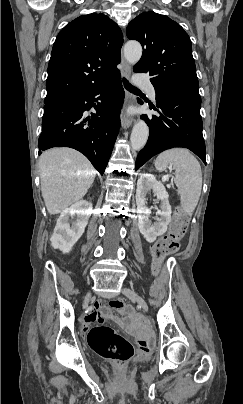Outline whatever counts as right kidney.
Returning a JSON list of instances; mask_svg holds the SVG:
<instances>
[{
	"instance_id": "right-kidney-1",
	"label": "right kidney",
	"mask_w": 243,
	"mask_h": 404,
	"mask_svg": "<svg viewBox=\"0 0 243 404\" xmlns=\"http://www.w3.org/2000/svg\"><path fill=\"white\" fill-rule=\"evenodd\" d=\"M87 202L81 200L76 202L71 208H66L61 212L57 224L54 228V234L50 238L52 248L61 250L63 254H69L77 240L84 234L88 224L90 214L87 212ZM73 220L71 226L69 220Z\"/></svg>"
}]
</instances>
